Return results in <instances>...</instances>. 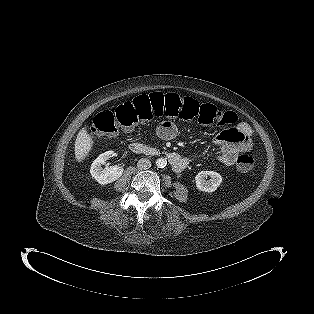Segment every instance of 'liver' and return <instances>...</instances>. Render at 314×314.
Segmentation results:
<instances>
[{"label":"liver","instance_id":"6515ba94","mask_svg":"<svg viewBox=\"0 0 314 314\" xmlns=\"http://www.w3.org/2000/svg\"><path fill=\"white\" fill-rule=\"evenodd\" d=\"M93 138L88 133L86 127L82 128L75 141V159L77 162L83 161L93 148Z\"/></svg>","mask_w":314,"mask_h":314}]
</instances>
